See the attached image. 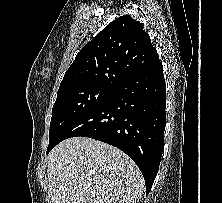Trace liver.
<instances>
[{"instance_id":"1","label":"liver","mask_w":222,"mask_h":203,"mask_svg":"<svg viewBox=\"0 0 222 203\" xmlns=\"http://www.w3.org/2000/svg\"><path fill=\"white\" fill-rule=\"evenodd\" d=\"M51 203H137L144 179L118 148L85 137L59 143L48 155Z\"/></svg>"}]
</instances>
